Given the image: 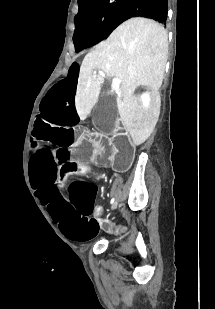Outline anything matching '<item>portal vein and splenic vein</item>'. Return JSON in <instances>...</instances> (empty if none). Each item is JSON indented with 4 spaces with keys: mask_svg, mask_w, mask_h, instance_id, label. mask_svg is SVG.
Returning a JSON list of instances; mask_svg holds the SVG:
<instances>
[{
    "mask_svg": "<svg viewBox=\"0 0 215 309\" xmlns=\"http://www.w3.org/2000/svg\"><path fill=\"white\" fill-rule=\"evenodd\" d=\"M96 72V70H95ZM99 74H101V76H104V72H102V70H98ZM121 80L120 78H112V84L113 86H119Z\"/></svg>",
    "mask_w": 215,
    "mask_h": 309,
    "instance_id": "1",
    "label": "portal vein and splenic vein"
}]
</instances>
